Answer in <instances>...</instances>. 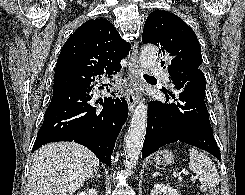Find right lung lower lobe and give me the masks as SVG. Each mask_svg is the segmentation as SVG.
I'll list each match as a JSON object with an SVG mask.
<instances>
[{"instance_id": "obj_1", "label": "right lung lower lobe", "mask_w": 245, "mask_h": 195, "mask_svg": "<svg viewBox=\"0 0 245 195\" xmlns=\"http://www.w3.org/2000/svg\"><path fill=\"white\" fill-rule=\"evenodd\" d=\"M96 84L53 94L32 151L49 142L75 141L111 166L110 156L127 120L128 105L124 98L95 101L90 92Z\"/></svg>"}]
</instances>
